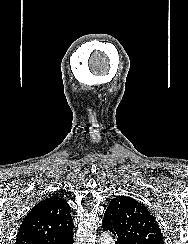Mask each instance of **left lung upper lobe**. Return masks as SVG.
Here are the masks:
<instances>
[{
    "label": "left lung upper lobe",
    "mask_w": 188,
    "mask_h": 244,
    "mask_svg": "<svg viewBox=\"0 0 188 244\" xmlns=\"http://www.w3.org/2000/svg\"><path fill=\"white\" fill-rule=\"evenodd\" d=\"M104 217L110 220L121 244H164L155 218L131 197L121 195L112 199Z\"/></svg>",
    "instance_id": "1"
}]
</instances>
